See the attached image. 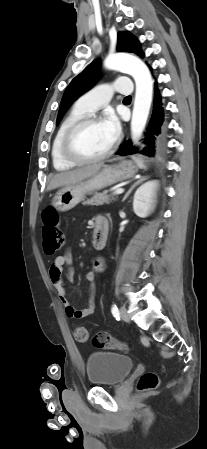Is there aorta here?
I'll list each match as a JSON object with an SVG mask.
<instances>
[{
    "instance_id": "aorta-1",
    "label": "aorta",
    "mask_w": 207,
    "mask_h": 449,
    "mask_svg": "<svg viewBox=\"0 0 207 449\" xmlns=\"http://www.w3.org/2000/svg\"><path fill=\"white\" fill-rule=\"evenodd\" d=\"M104 66L131 75L136 83V94L131 119L134 139L140 137L145 128L153 95V81L148 67L139 58L128 54L109 55Z\"/></svg>"
}]
</instances>
